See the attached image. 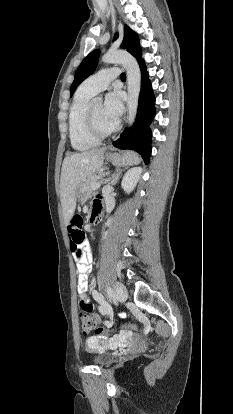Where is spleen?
I'll list each match as a JSON object with an SVG mask.
<instances>
[{"label":"spleen","instance_id":"3e777b00","mask_svg":"<svg viewBox=\"0 0 233 414\" xmlns=\"http://www.w3.org/2000/svg\"><path fill=\"white\" fill-rule=\"evenodd\" d=\"M127 154H129V155H133V157H134L133 164H137V163H139V157H138V155H137V154H135L134 152H127Z\"/></svg>","mask_w":233,"mask_h":414}]
</instances>
